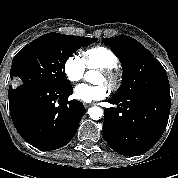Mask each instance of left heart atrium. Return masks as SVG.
I'll list each match as a JSON object with an SVG mask.
<instances>
[{
  "mask_svg": "<svg viewBox=\"0 0 178 178\" xmlns=\"http://www.w3.org/2000/svg\"><path fill=\"white\" fill-rule=\"evenodd\" d=\"M107 92V87L103 83L96 85L80 84L75 87L74 96L83 102H93L103 99L107 95Z\"/></svg>",
  "mask_w": 178,
  "mask_h": 178,
  "instance_id": "39dd6f15",
  "label": "left heart atrium"
}]
</instances>
